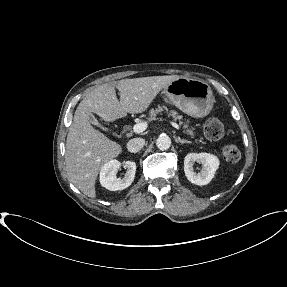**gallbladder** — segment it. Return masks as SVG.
<instances>
[{
  "label": "gallbladder",
  "instance_id": "obj_1",
  "mask_svg": "<svg viewBox=\"0 0 287 287\" xmlns=\"http://www.w3.org/2000/svg\"><path fill=\"white\" fill-rule=\"evenodd\" d=\"M88 120L91 124L97 126V127H101L100 123L98 122V120L94 117L93 114L89 113L88 114Z\"/></svg>",
  "mask_w": 287,
  "mask_h": 287
}]
</instances>
